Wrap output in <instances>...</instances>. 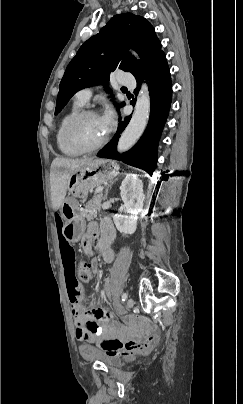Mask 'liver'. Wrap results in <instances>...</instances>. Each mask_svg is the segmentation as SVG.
<instances>
[{"label": "liver", "mask_w": 243, "mask_h": 404, "mask_svg": "<svg viewBox=\"0 0 243 404\" xmlns=\"http://www.w3.org/2000/svg\"><path fill=\"white\" fill-rule=\"evenodd\" d=\"M94 158H55L50 168L51 204L54 210H59L67 192L68 178L71 170L90 164Z\"/></svg>", "instance_id": "1"}]
</instances>
